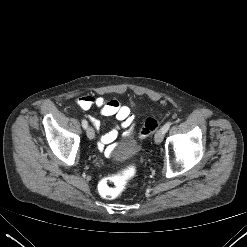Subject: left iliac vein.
Returning a JSON list of instances; mask_svg holds the SVG:
<instances>
[{
	"label": "left iliac vein",
	"instance_id": "1",
	"mask_svg": "<svg viewBox=\"0 0 247 247\" xmlns=\"http://www.w3.org/2000/svg\"><path fill=\"white\" fill-rule=\"evenodd\" d=\"M164 134H165V133L163 132V129H162V128L159 129V130L156 132L154 139H155V142H156L157 144H160V143L162 142V140H163V138H164Z\"/></svg>",
	"mask_w": 247,
	"mask_h": 247
}]
</instances>
